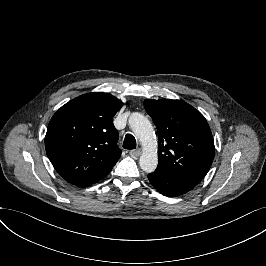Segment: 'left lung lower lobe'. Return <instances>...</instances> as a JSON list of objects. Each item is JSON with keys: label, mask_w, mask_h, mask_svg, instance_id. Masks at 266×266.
I'll list each match as a JSON object with an SVG mask.
<instances>
[{"label": "left lung lower lobe", "mask_w": 266, "mask_h": 266, "mask_svg": "<svg viewBox=\"0 0 266 266\" xmlns=\"http://www.w3.org/2000/svg\"><path fill=\"white\" fill-rule=\"evenodd\" d=\"M148 179L158 192L168 197H177L194 188L192 184L175 179L157 170L149 174Z\"/></svg>", "instance_id": "0a47b994"}]
</instances>
